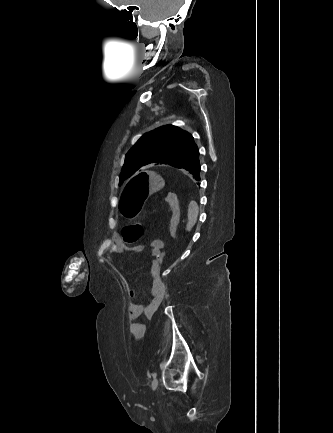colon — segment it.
Wrapping results in <instances>:
<instances>
[{
    "instance_id": "1",
    "label": "colon",
    "mask_w": 333,
    "mask_h": 433,
    "mask_svg": "<svg viewBox=\"0 0 333 433\" xmlns=\"http://www.w3.org/2000/svg\"><path fill=\"white\" fill-rule=\"evenodd\" d=\"M166 201L170 204L173 211L170 220V230L171 235L174 236L178 222L177 198L174 194H168ZM121 236L126 244H135L143 236V227L138 222L129 223L122 228Z\"/></svg>"
}]
</instances>
